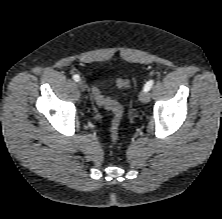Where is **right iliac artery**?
I'll use <instances>...</instances> for the list:
<instances>
[{"instance_id": "1", "label": "right iliac artery", "mask_w": 222, "mask_h": 219, "mask_svg": "<svg viewBox=\"0 0 222 219\" xmlns=\"http://www.w3.org/2000/svg\"><path fill=\"white\" fill-rule=\"evenodd\" d=\"M73 79H74L75 81H79L80 77H79V75L76 74V75L73 76Z\"/></svg>"}]
</instances>
